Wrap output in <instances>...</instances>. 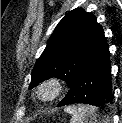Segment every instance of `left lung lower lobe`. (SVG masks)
<instances>
[{"mask_svg":"<svg viewBox=\"0 0 122 123\" xmlns=\"http://www.w3.org/2000/svg\"><path fill=\"white\" fill-rule=\"evenodd\" d=\"M112 97L110 53L106 43L80 70L58 107L76 103L104 107Z\"/></svg>","mask_w":122,"mask_h":123,"instance_id":"left-lung-lower-lobe-1","label":"left lung lower lobe"}]
</instances>
